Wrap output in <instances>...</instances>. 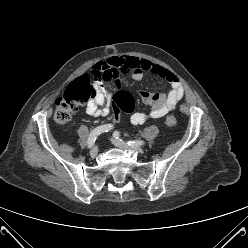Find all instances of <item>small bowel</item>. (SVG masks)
<instances>
[{
  "mask_svg": "<svg viewBox=\"0 0 248 248\" xmlns=\"http://www.w3.org/2000/svg\"><path fill=\"white\" fill-rule=\"evenodd\" d=\"M92 74L95 79L97 96L90 101L85 109L86 114L92 118L106 117L110 113V94L104 89L105 80L114 79L120 84L119 74H130L136 81H142L146 73L153 74L167 81L171 89L167 93L138 92L143 103L150 106L148 112H135L131 116L134 125L143 124L149 119L163 117L173 110L184 96V86L180 78L167 68L152 63L146 59L128 56H113L104 61L96 63L92 67Z\"/></svg>",
  "mask_w": 248,
  "mask_h": 248,
  "instance_id": "obj_1",
  "label": "small bowel"
}]
</instances>
